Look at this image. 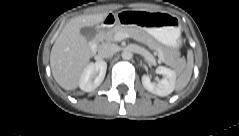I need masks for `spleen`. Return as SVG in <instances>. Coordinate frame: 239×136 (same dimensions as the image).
<instances>
[{"instance_id":"spleen-1","label":"spleen","mask_w":239,"mask_h":136,"mask_svg":"<svg viewBox=\"0 0 239 136\" xmlns=\"http://www.w3.org/2000/svg\"><path fill=\"white\" fill-rule=\"evenodd\" d=\"M192 69H193V56L192 53L190 52L188 55L187 67L178 77L176 90L180 91L187 86V84L191 79Z\"/></svg>"}]
</instances>
